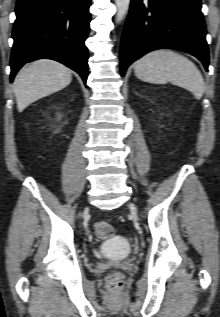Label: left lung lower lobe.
Here are the masks:
<instances>
[{
    "label": "left lung lower lobe",
    "mask_w": 220,
    "mask_h": 317,
    "mask_svg": "<svg viewBox=\"0 0 220 317\" xmlns=\"http://www.w3.org/2000/svg\"><path fill=\"white\" fill-rule=\"evenodd\" d=\"M205 36L201 0H131L121 42V75L132 62L159 48L185 50L207 70Z\"/></svg>",
    "instance_id": "0a47b994"
}]
</instances>
